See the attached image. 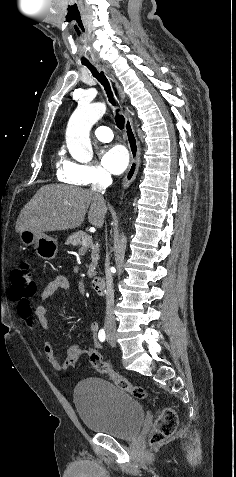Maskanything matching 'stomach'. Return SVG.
<instances>
[{
	"instance_id": "1",
	"label": "stomach",
	"mask_w": 236,
	"mask_h": 477,
	"mask_svg": "<svg viewBox=\"0 0 236 477\" xmlns=\"http://www.w3.org/2000/svg\"><path fill=\"white\" fill-rule=\"evenodd\" d=\"M19 237L24 246H33L39 257L51 260L57 256L59 245L56 239L44 233L37 234L29 230L22 231Z\"/></svg>"
}]
</instances>
